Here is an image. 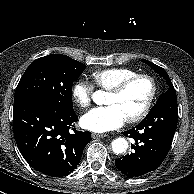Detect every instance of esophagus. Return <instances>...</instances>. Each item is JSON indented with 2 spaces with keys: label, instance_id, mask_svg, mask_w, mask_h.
<instances>
[{
  "label": "esophagus",
  "instance_id": "esophagus-1",
  "mask_svg": "<svg viewBox=\"0 0 194 194\" xmlns=\"http://www.w3.org/2000/svg\"><path fill=\"white\" fill-rule=\"evenodd\" d=\"M93 139L103 138L106 136V134H99V133H92L91 134Z\"/></svg>",
  "mask_w": 194,
  "mask_h": 194
}]
</instances>
